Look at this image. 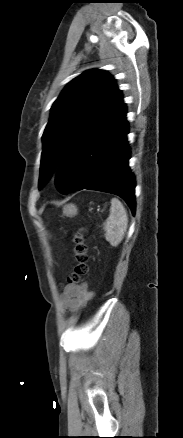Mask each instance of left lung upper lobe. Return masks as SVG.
Here are the masks:
<instances>
[{"label":"left lung upper lobe","mask_w":183,"mask_h":438,"mask_svg":"<svg viewBox=\"0 0 183 438\" xmlns=\"http://www.w3.org/2000/svg\"><path fill=\"white\" fill-rule=\"evenodd\" d=\"M123 105L121 91L105 71L90 70L72 80L54 102L43 133L39 188L55 176L81 141Z\"/></svg>","instance_id":"obj_1"}]
</instances>
